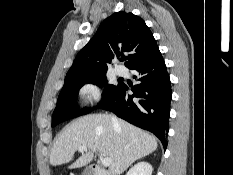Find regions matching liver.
Instances as JSON below:
<instances>
[{
    "mask_svg": "<svg viewBox=\"0 0 233 175\" xmlns=\"http://www.w3.org/2000/svg\"><path fill=\"white\" fill-rule=\"evenodd\" d=\"M110 114H90L71 122L56 139L51 155L52 166L62 165L73 160L75 152L82 145V152L70 169L89 164L94 153L111 159V175L122 174L133 162L143 158L157 148L156 138L132 124L117 119L112 122ZM85 152V153H84Z\"/></svg>",
    "mask_w": 233,
    "mask_h": 175,
    "instance_id": "1",
    "label": "liver"
}]
</instances>
